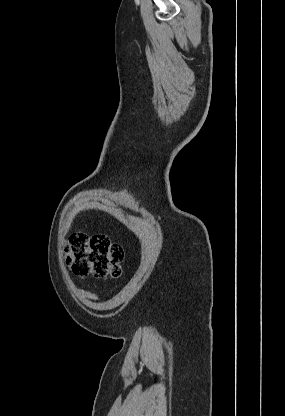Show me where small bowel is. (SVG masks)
Instances as JSON below:
<instances>
[{
  "label": "small bowel",
  "instance_id": "c3829d8e",
  "mask_svg": "<svg viewBox=\"0 0 285 416\" xmlns=\"http://www.w3.org/2000/svg\"><path fill=\"white\" fill-rule=\"evenodd\" d=\"M82 295L86 298V299H88V300H91V301H98L99 300V298H98V296L96 295V294H92V293H89V292H82Z\"/></svg>",
  "mask_w": 285,
  "mask_h": 416
}]
</instances>
